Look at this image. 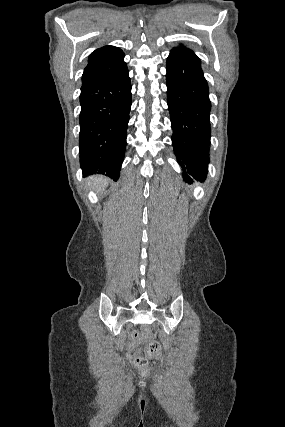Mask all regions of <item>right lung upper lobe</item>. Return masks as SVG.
Returning a JSON list of instances; mask_svg holds the SVG:
<instances>
[{"instance_id": "1", "label": "right lung upper lobe", "mask_w": 285, "mask_h": 427, "mask_svg": "<svg viewBox=\"0 0 285 427\" xmlns=\"http://www.w3.org/2000/svg\"><path fill=\"white\" fill-rule=\"evenodd\" d=\"M127 71L124 53L114 46H104L91 53L84 73L82 87L118 76Z\"/></svg>"}]
</instances>
